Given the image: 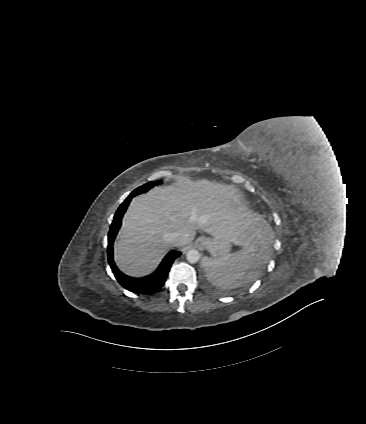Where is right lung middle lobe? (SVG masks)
Listing matches in <instances>:
<instances>
[{"label":"right lung middle lobe","instance_id":"1","mask_svg":"<svg viewBox=\"0 0 366 424\" xmlns=\"http://www.w3.org/2000/svg\"><path fill=\"white\" fill-rule=\"evenodd\" d=\"M161 184V181H152L147 184H144L138 188H136L132 193H135V196L141 193L147 192L149 189L154 187L155 185Z\"/></svg>","mask_w":366,"mask_h":424}]
</instances>
